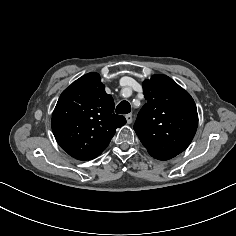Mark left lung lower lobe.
Instances as JSON below:
<instances>
[{"instance_id": "0a47b994", "label": "left lung lower lobe", "mask_w": 236, "mask_h": 236, "mask_svg": "<svg viewBox=\"0 0 236 236\" xmlns=\"http://www.w3.org/2000/svg\"><path fill=\"white\" fill-rule=\"evenodd\" d=\"M151 156H153L154 158L158 159V160H168L173 158L170 155H162V154H152Z\"/></svg>"}]
</instances>
